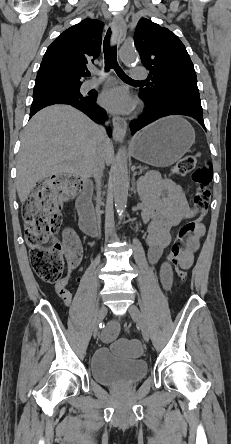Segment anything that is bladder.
<instances>
[{
    "mask_svg": "<svg viewBox=\"0 0 231 444\" xmlns=\"http://www.w3.org/2000/svg\"><path fill=\"white\" fill-rule=\"evenodd\" d=\"M147 363L141 359L118 358L110 348L96 350L90 359V373L103 385H131L147 374Z\"/></svg>",
    "mask_w": 231,
    "mask_h": 444,
    "instance_id": "bladder-1",
    "label": "bladder"
}]
</instances>
